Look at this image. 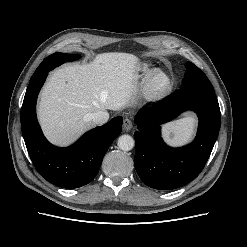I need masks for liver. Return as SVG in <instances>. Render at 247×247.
I'll use <instances>...</instances> for the list:
<instances>
[{"mask_svg": "<svg viewBox=\"0 0 247 247\" xmlns=\"http://www.w3.org/2000/svg\"><path fill=\"white\" fill-rule=\"evenodd\" d=\"M138 58L98 54L89 63L56 69L40 95L38 119L47 139L68 146L94 126L96 111H118L133 103Z\"/></svg>", "mask_w": 247, "mask_h": 247, "instance_id": "6515ba94", "label": "liver"}]
</instances>
